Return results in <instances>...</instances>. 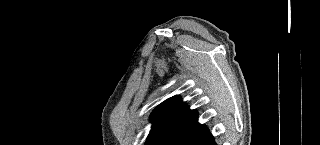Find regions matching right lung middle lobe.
<instances>
[{"label":"right lung middle lobe","mask_w":320,"mask_h":145,"mask_svg":"<svg viewBox=\"0 0 320 145\" xmlns=\"http://www.w3.org/2000/svg\"><path fill=\"white\" fill-rule=\"evenodd\" d=\"M174 136L162 135L155 136L146 141V145H168Z\"/></svg>","instance_id":"obj_1"}]
</instances>
